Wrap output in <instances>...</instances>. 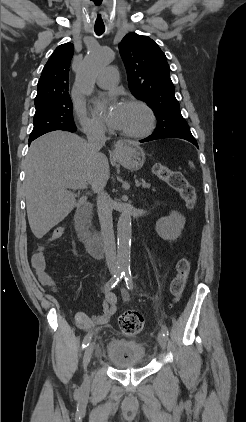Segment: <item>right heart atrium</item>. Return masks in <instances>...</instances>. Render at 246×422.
<instances>
[{"label": "right heart atrium", "instance_id": "d8ad5b80", "mask_svg": "<svg viewBox=\"0 0 246 422\" xmlns=\"http://www.w3.org/2000/svg\"><path fill=\"white\" fill-rule=\"evenodd\" d=\"M75 117L82 129V131L90 137H100L103 136L106 132L105 127L96 121L95 119L91 118L87 112L81 108H75Z\"/></svg>", "mask_w": 246, "mask_h": 422}]
</instances>
